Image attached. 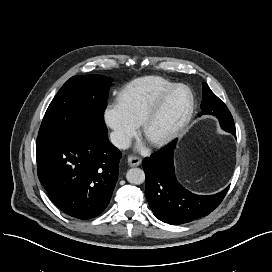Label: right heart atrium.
<instances>
[{
    "label": "right heart atrium",
    "mask_w": 272,
    "mask_h": 272,
    "mask_svg": "<svg viewBox=\"0 0 272 272\" xmlns=\"http://www.w3.org/2000/svg\"><path fill=\"white\" fill-rule=\"evenodd\" d=\"M103 120L111 130L112 143L120 148L124 147L137 131V126L130 121L118 102L105 107Z\"/></svg>",
    "instance_id": "1"
}]
</instances>
